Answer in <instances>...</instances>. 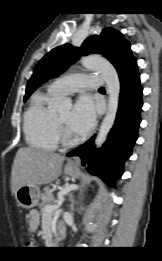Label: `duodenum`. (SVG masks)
<instances>
[{
  "instance_id": "410a0bca",
  "label": "duodenum",
  "mask_w": 162,
  "mask_h": 261,
  "mask_svg": "<svg viewBox=\"0 0 162 261\" xmlns=\"http://www.w3.org/2000/svg\"><path fill=\"white\" fill-rule=\"evenodd\" d=\"M65 231L62 227H60L57 231V236L53 238V242L56 243L60 238L64 237Z\"/></svg>"
}]
</instances>
